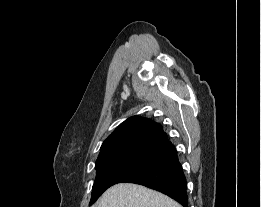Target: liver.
Here are the masks:
<instances>
[{"mask_svg":"<svg viewBox=\"0 0 261 207\" xmlns=\"http://www.w3.org/2000/svg\"><path fill=\"white\" fill-rule=\"evenodd\" d=\"M93 207H182L176 201L155 190L131 183L109 188Z\"/></svg>","mask_w":261,"mask_h":207,"instance_id":"liver-1","label":"liver"}]
</instances>
